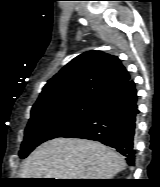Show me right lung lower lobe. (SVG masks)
<instances>
[{
  "label": "right lung lower lobe",
  "mask_w": 160,
  "mask_h": 187,
  "mask_svg": "<svg viewBox=\"0 0 160 187\" xmlns=\"http://www.w3.org/2000/svg\"><path fill=\"white\" fill-rule=\"evenodd\" d=\"M137 100L135 83L130 79L99 99L86 116L58 137L101 142L115 148L128 165L134 166Z\"/></svg>",
  "instance_id": "98d812e1"
}]
</instances>
